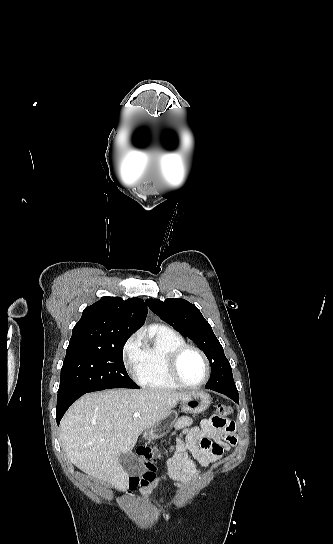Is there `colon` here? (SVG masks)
Returning <instances> with one entry per match:
<instances>
[{"mask_svg":"<svg viewBox=\"0 0 333 544\" xmlns=\"http://www.w3.org/2000/svg\"><path fill=\"white\" fill-rule=\"evenodd\" d=\"M232 407L229 405L220 404L216 407V413L219 416H227L232 413ZM138 455L141 457L145 471L138 477L130 478L129 487L134 490L138 487H145L151 484L155 479V459L158 455L157 450L152 449L149 446H141L137 449Z\"/></svg>","mask_w":333,"mask_h":544,"instance_id":"1","label":"colon"}]
</instances>
